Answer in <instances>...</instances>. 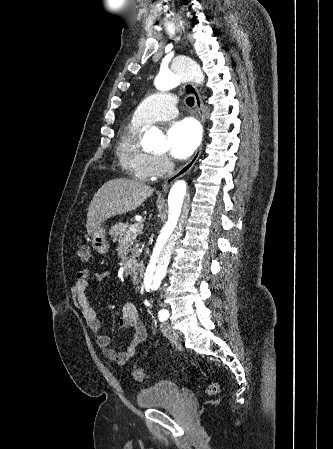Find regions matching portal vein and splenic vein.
<instances>
[{"label":"portal vein and splenic vein","mask_w":333,"mask_h":449,"mask_svg":"<svg viewBox=\"0 0 333 449\" xmlns=\"http://www.w3.org/2000/svg\"><path fill=\"white\" fill-rule=\"evenodd\" d=\"M140 228H142V225L134 224L130 227V231L136 233L139 231Z\"/></svg>","instance_id":"portal-vein-and-splenic-vein-1"}]
</instances>
